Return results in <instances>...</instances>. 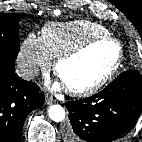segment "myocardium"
I'll return each instance as SVG.
<instances>
[{"label": "myocardium", "mask_w": 142, "mask_h": 142, "mask_svg": "<svg viewBox=\"0 0 142 142\" xmlns=\"http://www.w3.org/2000/svg\"><path fill=\"white\" fill-rule=\"evenodd\" d=\"M103 42L113 43L117 47L118 55L115 60V63L104 76H102L99 80H97L96 82L84 88L66 87L67 91L70 94L74 96H80V97L89 96V95L97 93L104 86H106L113 79V77L116 75V73L118 72V70L120 69L122 65V61L124 57L123 47L116 38L110 35H104V36L91 38L56 58L54 62V72L57 76H59V70L63 63L82 55L87 50H89L91 47L97 44L103 43Z\"/></svg>", "instance_id": "f54148a6"}]
</instances>
